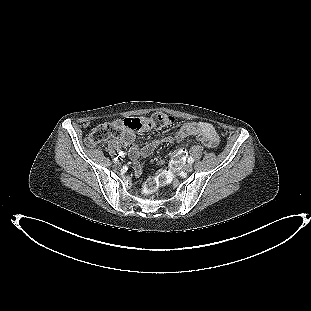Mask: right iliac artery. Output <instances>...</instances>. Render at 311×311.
I'll list each match as a JSON object with an SVG mask.
<instances>
[{
    "label": "right iliac artery",
    "mask_w": 311,
    "mask_h": 311,
    "mask_svg": "<svg viewBox=\"0 0 311 311\" xmlns=\"http://www.w3.org/2000/svg\"><path fill=\"white\" fill-rule=\"evenodd\" d=\"M125 153L123 151L119 152V156L124 157ZM115 161H117V158H115Z\"/></svg>",
    "instance_id": "obj_1"
}]
</instances>
